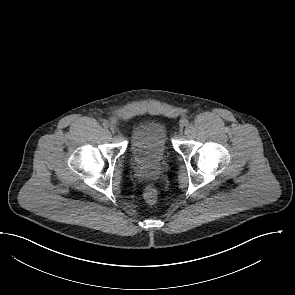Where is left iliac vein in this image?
<instances>
[{
  "instance_id": "obj_1",
  "label": "left iliac vein",
  "mask_w": 295,
  "mask_h": 295,
  "mask_svg": "<svg viewBox=\"0 0 295 295\" xmlns=\"http://www.w3.org/2000/svg\"><path fill=\"white\" fill-rule=\"evenodd\" d=\"M183 127H184V124H183V123H181V124H180V130H182V129H183Z\"/></svg>"
}]
</instances>
